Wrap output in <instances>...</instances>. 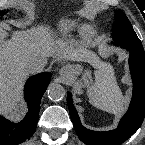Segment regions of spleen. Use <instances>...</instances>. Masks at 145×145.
Returning <instances> with one entry per match:
<instances>
[{
  "label": "spleen",
  "mask_w": 145,
  "mask_h": 145,
  "mask_svg": "<svg viewBox=\"0 0 145 145\" xmlns=\"http://www.w3.org/2000/svg\"><path fill=\"white\" fill-rule=\"evenodd\" d=\"M88 94L91 104L103 111L119 115L124 110L125 99L111 68L97 76L94 85L89 87Z\"/></svg>",
  "instance_id": "obj_1"
}]
</instances>
